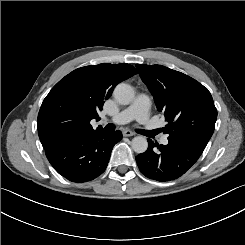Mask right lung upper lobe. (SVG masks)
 <instances>
[{
	"mask_svg": "<svg viewBox=\"0 0 245 245\" xmlns=\"http://www.w3.org/2000/svg\"><path fill=\"white\" fill-rule=\"evenodd\" d=\"M135 74L136 69L129 64L102 63L81 67L66 75L51 89L38 114L43 148L97 131L90 121L100 119L97 112L102 110L114 87Z\"/></svg>",
	"mask_w": 245,
	"mask_h": 245,
	"instance_id": "cb5924a9",
	"label": "right lung upper lobe"
}]
</instances>
